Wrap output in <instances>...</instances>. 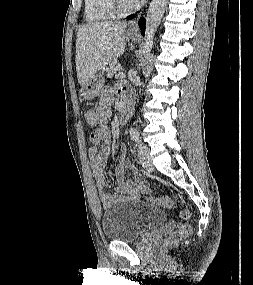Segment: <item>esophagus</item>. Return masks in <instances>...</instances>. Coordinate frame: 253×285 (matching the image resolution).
I'll return each instance as SVG.
<instances>
[{
    "label": "esophagus",
    "mask_w": 253,
    "mask_h": 285,
    "mask_svg": "<svg viewBox=\"0 0 253 285\" xmlns=\"http://www.w3.org/2000/svg\"><path fill=\"white\" fill-rule=\"evenodd\" d=\"M129 29L133 30V31H138V29H139L138 21L131 22L130 25H129Z\"/></svg>",
    "instance_id": "esophagus-1"
}]
</instances>
